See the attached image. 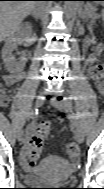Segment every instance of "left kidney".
I'll list each match as a JSON object with an SVG mask.
<instances>
[{"instance_id": "1", "label": "left kidney", "mask_w": 104, "mask_h": 189, "mask_svg": "<svg viewBox=\"0 0 104 189\" xmlns=\"http://www.w3.org/2000/svg\"><path fill=\"white\" fill-rule=\"evenodd\" d=\"M95 59L93 58V59H90V61H94Z\"/></svg>"}]
</instances>
